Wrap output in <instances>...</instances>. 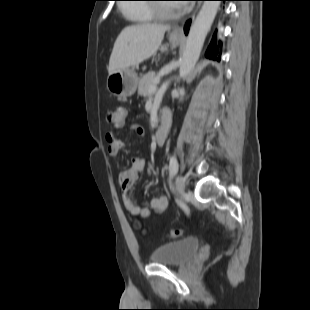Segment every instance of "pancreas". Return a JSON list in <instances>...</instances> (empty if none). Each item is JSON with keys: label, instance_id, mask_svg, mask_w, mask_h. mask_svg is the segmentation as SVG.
Segmentation results:
<instances>
[{"label": "pancreas", "instance_id": "obj_1", "mask_svg": "<svg viewBox=\"0 0 310 310\" xmlns=\"http://www.w3.org/2000/svg\"><path fill=\"white\" fill-rule=\"evenodd\" d=\"M154 85H156V82L153 72L143 75L138 84V94L144 97L152 96V93L149 92V88Z\"/></svg>", "mask_w": 310, "mask_h": 310}]
</instances>
